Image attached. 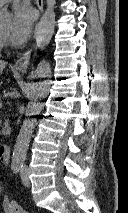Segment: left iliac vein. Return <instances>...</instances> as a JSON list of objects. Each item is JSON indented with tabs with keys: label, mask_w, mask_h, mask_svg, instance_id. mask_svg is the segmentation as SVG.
Masks as SVG:
<instances>
[{
	"label": "left iliac vein",
	"mask_w": 128,
	"mask_h": 213,
	"mask_svg": "<svg viewBox=\"0 0 128 213\" xmlns=\"http://www.w3.org/2000/svg\"><path fill=\"white\" fill-rule=\"evenodd\" d=\"M20 176H21V179H22L24 186L29 187L30 186V180H29V177H28V169L23 168L21 170Z\"/></svg>",
	"instance_id": "left-iliac-vein-1"
}]
</instances>
